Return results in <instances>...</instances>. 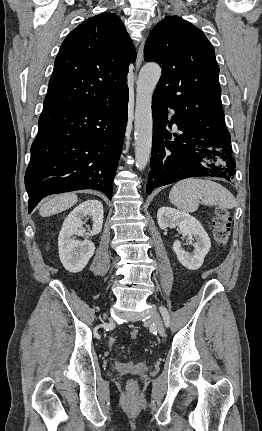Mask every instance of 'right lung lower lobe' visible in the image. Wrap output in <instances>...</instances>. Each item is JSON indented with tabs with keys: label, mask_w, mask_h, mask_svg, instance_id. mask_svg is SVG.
I'll list each match as a JSON object with an SVG mask.
<instances>
[{
	"label": "right lung lower lobe",
	"mask_w": 262,
	"mask_h": 431,
	"mask_svg": "<svg viewBox=\"0 0 262 431\" xmlns=\"http://www.w3.org/2000/svg\"><path fill=\"white\" fill-rule=\"evenodd\" d=\"M127 104L128 89L98 106L43 109L25 174L29 213L54 193L95 189L112 198Z\"/></svg>",
	"instance_id": "98d812e1"
}]
</instances>
